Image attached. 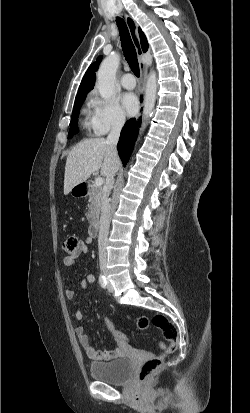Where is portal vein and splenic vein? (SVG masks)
<instances>
[{"label": "portal vein and splenic vein", "mask_w": 250, "mask_h": 413, "mask_svg": "<svg viewBox=\"0 0 250 413\" xmlns=\"http://www.w3.org/2000/svg\"><path fill=\"white\" fill-rule=\"evenodd\" d=\"M103 183H104L103 178L98 177V178L95 179V183H94V184H95L96 186L100 187V186L103 185Z\"/></svg>", "instance_id": "1"}]
</instances>
